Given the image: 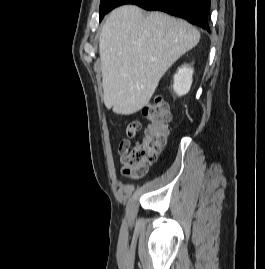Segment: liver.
<instances>
[{"mask_svg":"<svg viewBox=\"0 0 265 269\" xmlns=\"http://www.w3.org/2000/svg\"><path fill=\"white\" fill-rule=\"evenodd\" d=\"M199 40L195 27L161 12L145 15L135 5L112 11L99 40L106 108L121 115L141 110L166 71Z\"/></svg>","mask_w":265,"mask_h":269,"instance_id":"6515ba94","label":"liver"}]
</instances>
